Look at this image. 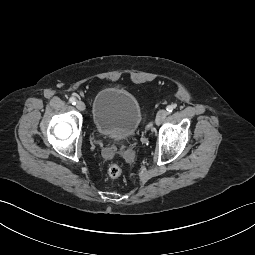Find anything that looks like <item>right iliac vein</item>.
Wrapping results in <instances>:
<instances>
[{"label":"right iliac vein","instance_id":"1","mask_svg":"<svg viewBox=\"0 0 255 255\" xmlns=\"http://www.w3.org/2000/svg\"><path fill=\"white\" fill-rule=\"evenodd\" d=\"M76 108H77L79 111H84L85 108H86V106H85L84 102L78 101V102L76 103Z\"/></svg>","mask_w":255,"mask_h":255}]
</instances>
